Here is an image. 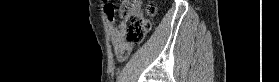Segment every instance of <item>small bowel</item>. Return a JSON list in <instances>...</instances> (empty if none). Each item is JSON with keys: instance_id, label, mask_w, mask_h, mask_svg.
I'll list each match as a JSON object with an SVG mask.
<instances>
[{"instance_id": "small-bowel-1", "label": "small bowel", "mask_w": 279, "mask_h": 82, "mask_svg": "<svg viewBox=\"0 0 279 82\" xmlns=\"http://www.w3.org/2000/svg\"><path fill=\"white\" fill-rule=\"evenodd\" d=\"M105 15L113 50L120 59H123L125 58L124 51L128 48L131 49V47L125 41V34L123 32L122 25H117L115 22L114 9L108 4L105 5Z\"/></svg>"}]
</instances>
